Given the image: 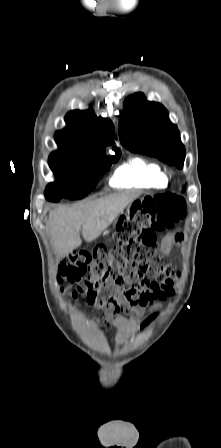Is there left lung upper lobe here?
Here are the masks:
<instances>
[{
    "mask_svg": "<svg viewBox=\"0 0 221 448\" xmlns=\"http://www.w3.org/2000/svg\"><path fill=\"white\" fill-rule=\"evenodd\" d=\"M119 138L132 152L183 167L185 147L177 126L170 122L168 112L161 104L147 101L142 93L126 99L119 120Z\"/></svg>",
    "mask_w": 221,
    "mask_h": 448,
    "instance_id": "1",
    "label": "left lung upper lobe"
}]
</instances>
